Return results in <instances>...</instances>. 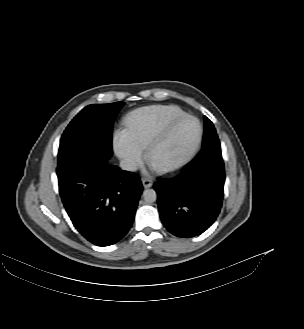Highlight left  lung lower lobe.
I'll list each match as a JSON object with an SVG mask.
<instances>
[{
  "label": "left lung lower lobe",
  "instance_id": "1",
  "mask_svg": "<svg viewBox=\"0 0 304 329\" xmlns=\"http://www.w3.org/2000/svg\"><path fill=\"white\" fill-rule=\"evenodd\" d=\"M225 170L220 141L215 135L202 146L189 167L154 184L160 218L178 237H194L216 220L223 200Z\"/></svg>",
  "mask_w": 304,
  "mask_h": 329
}]
</instances>
